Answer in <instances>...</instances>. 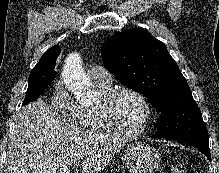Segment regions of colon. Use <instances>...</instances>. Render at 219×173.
Segmentation results:
<instances>
[{"label": "colon", "instance_id": "5ec220e1", "mask_svg": "<svg viewBox=\"0 0 219 173\" xmlns=\"http://www.w3.org/2000/svg\"><path fill=\"white\" fill-rule=\"evenodd\" d=\"M172 173H188V171L183 165H176L174 166Z\"/></svg>", "mask_w": 219, "mask_h": 173}]
</instances>
